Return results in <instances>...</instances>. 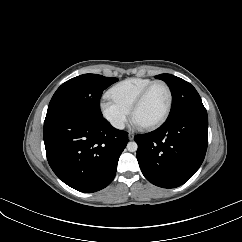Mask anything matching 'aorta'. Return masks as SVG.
Masks as SVG:
<instances>
[{"instance_id":"1","label":"aorta","mask_w":242,"mask_h":242,"mask_svg":"<svg viewBox=\"0 0 242 242\" xmlns=\"http://www.w3.org/2000/svg\"><path fill=\"white\" fill-rule=\"evenodd\" d=\"M137 148H138V145H137V143L136 142H129L128 144H127V149H128V151H130V152H135V151H137Z\"/></svg>"}]
</instances>
